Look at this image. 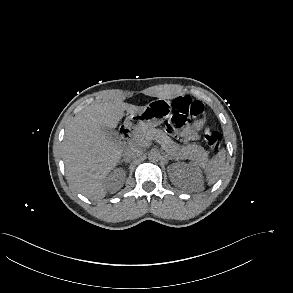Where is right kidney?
I'll return each mask as SVG.
<instances>
[{"label":"right kidney","instance_id":"obj_1","mask_svg":"<svg viewBox=\"0 0 293 293\" xmlns=\"http://www.w3.org/2000/svg\"><path fill=\"white\" fill-rule=\"evenodd\" d=\"M124 181L125 172L121 169H115L108 177L109 181L117 180Z\"/></svg>","mask_w":293,"mask_h":293}]
</instances>
